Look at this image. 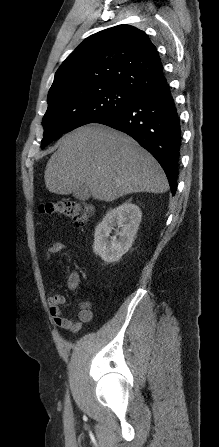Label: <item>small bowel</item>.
<instances>
[{
    "label": "small bowel",
    "instance_id": "1",
    "mask_svg": "<svg viewBox=\"0 0 219 447\" xmlns=\"http://www.w3.org/2000/svg\"><path fill=\"white\" fill-rule=\"evenodd\" d=\"M67 246L62 242H55L50 245L45 252V259L49 260L52 255L66 250ZM68 287L75 291L78 287V276L73 275L68 281ZM65 298L61 294H54L48 298L50 315L54 323L63 329L77 331L82 323L90 322L93 318V311L89 300H83L79 305L78 320L68 318L61 309Z\"/></svg>",
    "mask_w": 219,
    "mask_h": 447
}]
</instances>
